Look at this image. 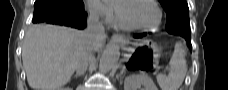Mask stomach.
Wrapping results in <instances>:
<instances>
[{"instance_id": "stomach-1", "label": "stomach", "mask_w": 228, "mask_h": 90, "mask_svg": "<svg viewBox=\"0 0 228 90\" xmlns=\"http://www.w3.org/2000/svg\"><path fill=\"white\" fill-rule=\"evenodd\" d=\"M140 50L130 59V65L134 64L142 69L155 68L158 65L160 57L159 47L150 40H144L139 43Z\"/></svg>"}]
</instances>
